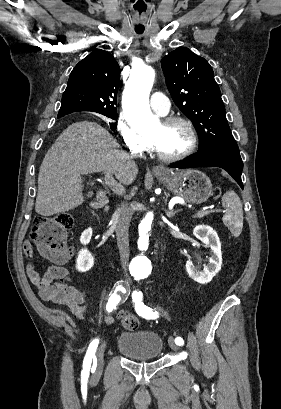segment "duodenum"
Here are the masks:
<instances>
[{
	"instance_id": "1",
	"label": "duodenum",
	"mask_w": 281,
	"mask_h": 409,
	"mask_svg": "<svg viewBox=\"0 0 281 409\" xmlns=\"http://www.w3.org/2000/svg\"><path fill=\"white\" fill-rule=\"evenodd\" d=\"M107 193H108V188L106 186H101L99 188V191L97 192V197L99 199H101L103 202H106L108 200V197L106 196ZM100 204H102V202H100V201L93 202V203L90 204V207L91 208H96Z\"/></svg>"
}]
</instances>
